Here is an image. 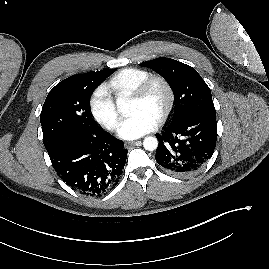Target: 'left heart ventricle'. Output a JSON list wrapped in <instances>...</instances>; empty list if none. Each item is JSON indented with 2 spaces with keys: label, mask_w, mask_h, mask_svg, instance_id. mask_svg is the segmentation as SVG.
<instances>
[{
  "label": "left heart ventricle",
  "mask_w": 269,
  "mask_h": 269,
  "mask_svg": "<svg viewBox=\"0 0 269 269\" xmlns=\"http://www.w3.org/2000/svg\"><path fill=\"white\" fill-rule=\"evenodd\" d=\"M166 103V93L161 85H154L147 96L142 100H131L130 114L145 112L158 119Z\"/></svg>",
  "instance_id": "left-heart-ventricle-1"
}]
</instances>
